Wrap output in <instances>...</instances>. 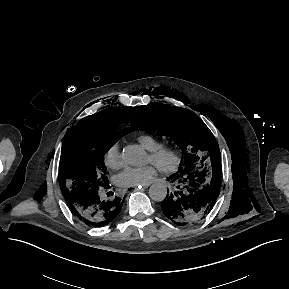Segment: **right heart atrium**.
<instances>
[{
    "instance_id": "obj_1",
    "label": "right heart atrium",
    "mask_w": 289,
    "mask_h": 289,
    "mask_svg": "<svg viewBox=\"0 0 289 289\" xmlns=\"http://www.w3.org/2000/svg\"><path fill=\"white\" fill-rule=\"evenodd\" d=\"M103 161L107 167L112 169H116L122 165V156L118 143H113L106 149Z\"/></svg>"
}]
</instances>
